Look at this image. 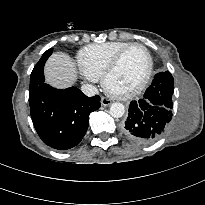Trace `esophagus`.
<instances>
[{
  "label": "esophagus",
  "mask_w": 205,
  "mask_h": 205,
  "mask_svg": "<svg viewBox=\"0 0 205 205\" xmlns=\"http://www.w3.org/2000/svg\"><path fill=\"white\" fill-rule=\"evenodd\" d=\"M101 104L106 107L111 104V100L106 97H101Z\"/></svg>",
  "instance_id": "obj_1"
}]
</instances>
